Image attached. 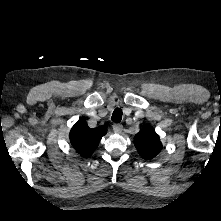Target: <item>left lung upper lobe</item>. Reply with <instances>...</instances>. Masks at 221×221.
I'll list each match as a JSON object with an SVG mask.
<instances>
[{
    "mask_svg": "<svg viewBox=\"0 0 221 221\" xmlns=\"http://www.w3.org/2000/svg\"><path fill=\"white\" fill-rule=\"evenodd\" d=\"M134 144L139 154L145 159L154 158L162 149L159 136L152 127L145 126L135 135Z\"/></svg>",
    "mask_w": 221,
    "mask_h": 221,
    "instance_id": "5c2ea615",
    "label": "left lung upper lobe"
}]
</instances>
